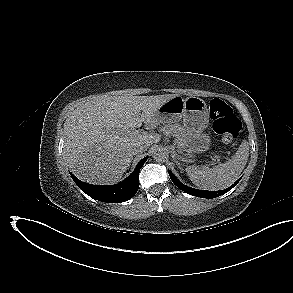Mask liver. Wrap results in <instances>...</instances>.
<instances>
[{
	"instance_id": "obj_1",
	"label": "liver",
	"mask_w": 293,
	"mask_h": 293,
	"mask_svg": "<svg viewBox=\"0 0 293 293\" xmlns=\"http://www.w3.org/2000/svg\"><path fill=\"white\" fill-rule=\"evenodd\" d=\"M177 94L156 96L99 95L80 104L64 122V159L82 181L114 184L130 166L133 149L160 141L136 129L158 125V109Z\"/></svg>"
}]
</instances>
